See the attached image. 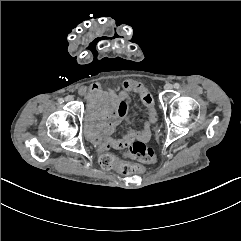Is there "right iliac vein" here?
<instances>
[{
    "instance_id": "1",
    "label": "right iliac vein",
    "mask_w": 241,
    "mask_h": 241,
    "mask_svg": "<svg viewBox=\"0 0 241 241\" xmlns=\"http://www.w3.org/2000/svg\"><path fill=\"white\" fill-rule=\"evenodd\" d=\"M72 100H73V98H72L71 96H67V97L65 98V101H67V102L72 101Z\"/></svg>"
}]
</instances>
